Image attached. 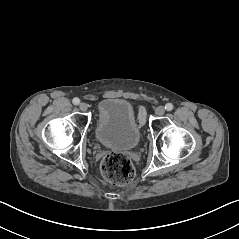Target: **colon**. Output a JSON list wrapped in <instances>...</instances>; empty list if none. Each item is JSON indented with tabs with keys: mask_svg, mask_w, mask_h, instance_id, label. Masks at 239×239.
Instances as JSON below:
<instances>
[{
	"mask_svg": "<svg viewBox=\"0 0 239 239\" xmlns=\"http://www.w3.org/2000/svg\"><path fill=\"white\" fill-rule=\"evenodd\" d=\"M145 119L143 110L139 112V124ZM101 174L106 182L113 186L129 183L135 174L132 162L124 155L116 152L107 154L101 162Z\"/></svg>",
	"mask_w": 239,
	"mask_h": 239,
	"instance_id": "colon-1",
	"label": "colon"
}]
</instances>
